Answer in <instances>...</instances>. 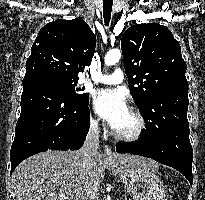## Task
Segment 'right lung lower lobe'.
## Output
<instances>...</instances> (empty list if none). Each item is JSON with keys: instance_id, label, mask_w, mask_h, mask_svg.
<instances>
[{"instance_id": "right-lung-lower-lobe-1", "label": "right lung lower lobe", "mask_w": 205, "mask_h": 200, "mask_svg": "<svg viewBox=\"0 0 205 200\" xmlns=\"http://www.w3.org/2000/svg\"><path fill=\"white\" fill-rule=\"evenodd\" d=\"M21 114L11 146V174L24 159L50 150H77L89 130L88 101L70 98L58 85L23 80Z\"/></svg>"}]
</instances>
